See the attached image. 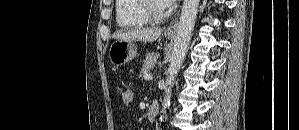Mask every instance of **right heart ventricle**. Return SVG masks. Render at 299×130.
Masks as SVG:
<instances>
[{
  "instance_id": "obj_1",
  "label": "right heart ventricle",
  "mask_w": 299,
  "mask_h": 130,
  "mask_svg": "<svg viewBox=\"0 0 299 130\" xmlns=\"http://www.w3.org/2000/svg\"><path fill=\"white\" fill-rule=\"evenodd\" d=\"M142 0H116V21L121 28H140L148 26L152 21L141 9Z\"/></svg>"
}]
</instances>
